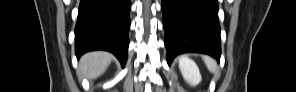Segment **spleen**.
Masks as SVG:
<instances>
[{"label": "spleen", "instance_id": "obj_1", "mask_svg": "<svg viewBox=\"0 0 296 92\" xmlns=\"http://www.w3.org/2000/svg\"><path fill=\"white\" fill-rule=\"evenodd\" d=\"M203 59L209 71L215 73L217 70V64L215 63V61L208 56H203Z\"/></svg>", "mask_w": 296, "mask_h": 92}]
</instances>
